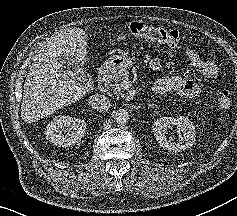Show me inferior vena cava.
<instances>
[{"instance_id": "602c4592", "label": "inferior vena cava", "mask_w": 237, "mask_h": 216, "mask_svg": "<svg viewBox=\"0 0 237 216\" xmlns=\"http://www.w3.org/2000/svg\"><path fill=\"white\" fill-rule=\"evenodd\" d=\"M88 104L100 112L108 111L111 108V102L105 95L95 94L88 97Z\"/></svg>"}]
</instances>
